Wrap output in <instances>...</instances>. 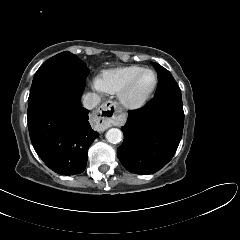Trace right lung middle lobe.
I'll return each mask as SVG.
<instances>
[{
	"label": "right lung middle lobe",
	"mask_w": 240,
	"mask_h": 240,
	"mask_svg": "<svg viewBox=\"0 0 240 240\" xmlns=\"http://www.w3.org/2000/svg\"><path fill=\"white\" fill-rule=\"evenodd\" d=\"M89 68L76 55L65 51L44 62L37 70L30 89L33 99L44 89L57 84L85 86Z\"/></svg>",
	"instance_id": "obj_1"
}]
</instances>
